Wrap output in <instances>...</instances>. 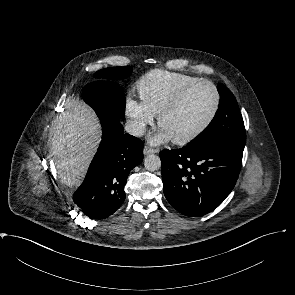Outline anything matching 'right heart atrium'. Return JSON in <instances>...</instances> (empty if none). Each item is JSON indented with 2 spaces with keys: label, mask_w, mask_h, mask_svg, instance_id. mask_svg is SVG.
Instances as JSON below:
<instances>
[{
  "label": "right heart atrium",
  "mask_w": 295,
  "mask_h": 295,
  "mask_svg": "<svg viewBox=\"0 0 295 295\" xmlns=\"http://www.w3.org/2000/svg\"><path fill=\"white\" fill-rule=\"evenodd\" d=\"M126 113L131 119V129L136 136H141L155 119L151 109L143 101L133 97H128L126 100Z\"/></svg>",
  "instance_id": "1"
}]
</instances>
